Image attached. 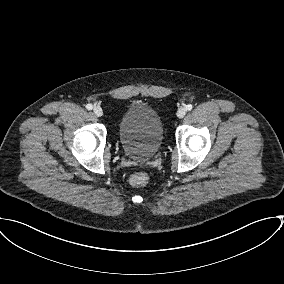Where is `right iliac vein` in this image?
Returning <instances> with one entry per match:
<instances>
[{"label": "right iliac vein", "instance_id": "63e3f726", "mask_svg": "<svg viewBox=\"0 0 284 284\" xmlns=\"http://www.w3.org/2000/svg\"><path fill=\"white\" fill-rule=\"evenodd\" d=\"M93 112L96 116L101 117L103 115V110L101 107L96 106L93 108Z\"/></svg>", "mask_w": 284, "mask_h": 284}]
</instances>
